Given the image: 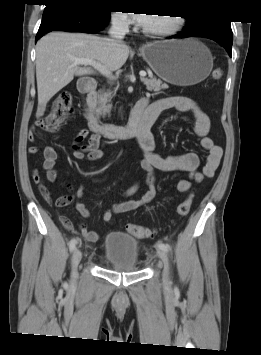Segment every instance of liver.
I'll use <instances>...</instances> for the list:
<instances>
[{"label":"liver","instance_id":"liver-1","mask_svg":"<svg viewBox=\"0 0 261 355\" xmlns=\"http://www.w3.org/2000/svg\"><path fill=\"white\" fill-rule=\"evenodd\" d=\"M129 47L112 46L108 38L83 33L51 32L36 45L37 117L44 114L49 100L68 85L74 76L94 74L92 67L75 64V58L100 63L107 71H116L126 62Z\"/></svg>","mask_w":261,"mask_h":355}]
</instances>
